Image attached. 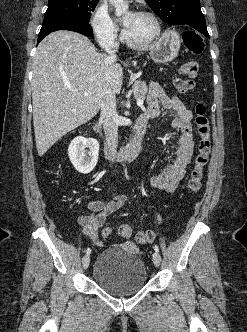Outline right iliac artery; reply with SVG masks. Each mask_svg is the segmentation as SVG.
Masks as SVG:
<instances>
[{
  "label": "right iliac artery",
  "instance_id": "right-iliac-artery-1",
  "mask_svg": "<svg viewBox=\"0 0 247 332\" xmlns=\"http://www.w3.org/2000/svg\"><path fill=\"white\" fill-rule=\"evenodd\" d=\"M90 252H91V249H90V248H87V249H86V253H87V254H90Z\"/></svg>",
  "mask_w": 247,
  "mask_h": 332
}]
</instances>
